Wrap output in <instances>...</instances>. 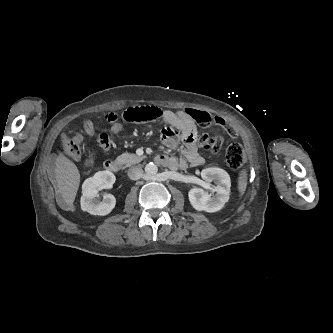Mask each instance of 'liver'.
Listing matches in <instances>:
<instances>
[{
  "instance_id": "liver-1",
  "label": "liver",
  "mask_w": 333,
  "mask_h": 333,
  "mask_svg": "<svg viewBox=\"0 0 333 333\" xmlns=\"http://www.w3.org/2000/svg\"><path fill=\"white\" fill-rule=\"evenodd\" d=\"M55 172L58 193L61 194L65 205L71 207L80 184L79 170L71 160L59 155L56 160Z\"/></svg>"
}]
</instances>
